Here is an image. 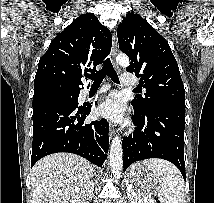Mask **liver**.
Returning <instances> with one entry per match:
<instances>
[{"instance_id": "obj_1", "label": "liver", "mask_w": 214, "mask_h": 203, "mask_svg": "<svg viewBox=\"0 0 214 203\" xmlns=\"http://www.w3.org/2000/svg\"><path fill=\"white\" fill-rule=\"evenodd\" d=\"M94 166L72 153H54L31 171L32 203H90Z\"/></svg>"}]
</instances>
